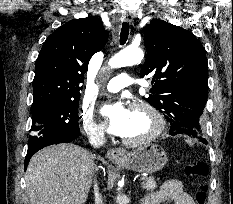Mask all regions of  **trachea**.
Instances as JSON below:
<instances>
[{
  "label": "trachea",
  "mask_w": 233,
  "mask_h": 204,
  "mask_svg": "<svg viewBox=\"0 0 233 204\" xmlns=\"http://www.w3.org/2000/svg\"><path fill=\"white\" fill-rule=\"evenodd\" d=\"M129 35V23L123 22L122 23V29L120 33V44L123 45L126 43Z\"/></svg>",
  "instance_id": "trachea-1"
}]
</instances>
